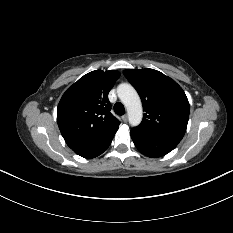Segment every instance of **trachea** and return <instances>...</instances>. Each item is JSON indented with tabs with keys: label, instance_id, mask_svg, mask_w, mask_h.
Wrapping results in <instances>:
<instances>
[{
	"label": "trachea",
	"instance_id": "1",
	"mask_svg": "<svg viewBox=\"0 0 233 233\" xmlns=\"http://www.w3.org/2000/svg\"><path fill=\"white\" fill-rule=\"evenodd\" d=\"M114 111L118 115H124L125 114V108L122 103L117 102L114 105Z\"/></svg>",
	"mask_w": 233,
	"mask_h": 233
}]
</instances>
